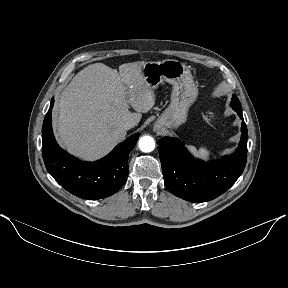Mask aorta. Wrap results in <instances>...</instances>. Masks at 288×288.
I'll return each instance as SVG.
<instances>
[{"label":"aorta","instance_id":"1","mask_svg":"<svg viewBox=\"0 0 288 288\" xmlns=\"http://www.w3.org/2000/svg\"><path fill=\"white\" fill-rule=\"evenodd\" d=\"M139 148L142 152H151L155 148V141L150 136H143L139 140Z\"/></svg>","mask_w":288,"mask_h":288}]
</instances>
